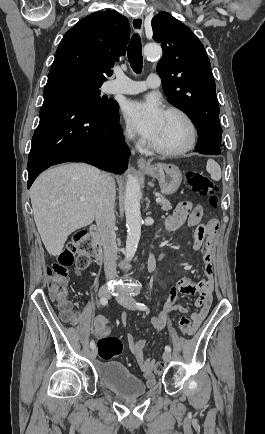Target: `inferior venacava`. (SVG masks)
Listing matches in <instances>:
<instances>
[{
	"label": "inferior vena cava",
	"instance_id": "1",
	"mask_svg": "<svg viewBox=\"0 0 265 434\" xmlns=\"http://www.w3.org/2000/svg\"><path fill=\"white\" fill-rule=\"evenodd\" d=\"M98 198L95 220L104 250V270L107 280L116 276L117 244L115 226V182L108 174H101L97 180Z\"/></svg>",
	"mask_w": 265,
	"mask_h": 434
}]
</instances>
